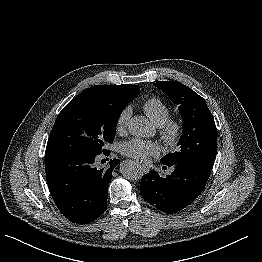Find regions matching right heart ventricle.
<instances>
[{
  "label": "right heart ventricle",
  "instance_id": "obj_1",
  "mask_svg": "<svg viewBox=\"0 0 262 262\" xmlns=\"http://www.w3.org/2000/svg\"><path fill=\"white\" fill-rule=\"evenodd\" d=\"M143 110L148 118L158 127L167 122L170 108L158 97H150L143 104Z\"/></svg>",
  "mask_w": 262,
  "mask_h": 262
}]
</instances>
